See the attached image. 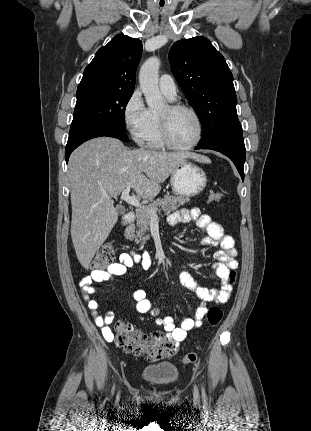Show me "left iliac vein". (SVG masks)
I'll return each mask as SVG.
<instances>
[{
    "mask_svg": "<svg viewBox=\"0 0 311 431\" xmlns=\"http://www.w3.org/2000/svg\"><path fill=\"white\" fill-rule=\"evenodd\" d=\"M195 397L197 398L198 397V392H197V390L195 389Z\"/></svg>",
    "mask_w": 311,
    "mask_h": 431,
    "instance_id": "1",
    "label": "left iliac vein"
}]
</instances>
